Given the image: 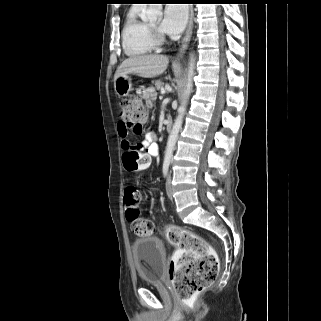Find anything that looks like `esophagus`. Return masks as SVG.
<instances>
[{
	"label": "esophagus",
	"mask_w": 321,
	"mask_h": 321,
	"mask_svg": "<svg viewBox=\"0 0 321 321\" xmlns=\"http://www.w3.org/2000/svg\"><path fill=\"white\" fill-rule=\"evenodd\" d=\"M192 28H193V6L190 5L189 6L188 26H187V30H186L185 36L182 39V43H181V46L179 48V51L177 53V59L182 57V55L184 54L185 50L188 47V44H189V41H190L191 35H192Z\"/></svg>",
	"instance_id": "obj_1"
}]
</instances>
